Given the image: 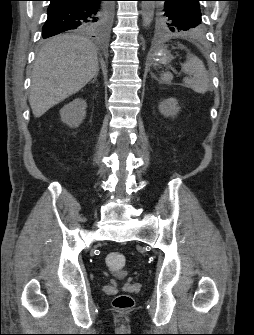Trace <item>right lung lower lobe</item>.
<instances>
[{
    "label": "right lung lower lobe",
    "mask_w": 254,
    "mask_h": 335,
    "mask_svg": "<svg viewBox=\"0 0 254 335\" xmlns=\"http://www.w3.org/2000/svg\"><path fill=\"white\" fill-rule=\"evenodd\" d=\"M49 1L47 21L42 28L43 38L67 30H92L100 17L103 0Z\"/></svg>",
    "instance_id": "1"
}]
</instances>
